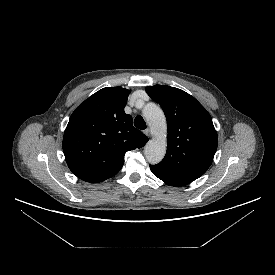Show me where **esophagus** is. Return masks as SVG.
I'll return each mask as SVG.
<instances>
[{"instance_id": "esophagus-1", "label": "esophagus", "mask_w": 275, "mask_h": 275, "mask_svg": "<svg viewBox=\"0 0 275 275\" xmlns=\"http://www.w3.org/2000/svg\"><path fill=\"white\" fill-rule=\"evenodd\" d=\"M144 134L147 135L148 137H150V136H151V131H150V129H146V130L144 131Z\"/></svg>"}]
</instances>
